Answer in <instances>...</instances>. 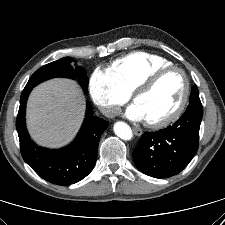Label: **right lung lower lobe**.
I'll use <instances>...</instances> for the list:
<instances>
[{
    "label": "right lung lower lobe",
    "mask_w": 225,
    "mask_h": 225,
    "mask_svg": "<svg viewBox=\"0 0 225 225\" xmlns=\"http://www.w3.org/2000/svg\"><path fill=\"white\" fill-rule=\"evenodd\" d=\"M32 88H24L16 128L24 161L43 179L67 186L85 178L93 169L100 137L109 123L92 115L87 103L86 118L76 139L67 147L50 150L39 147L29 137L25 125L26 101Z\"/></svg>",
    "instance_id": "right-lung-lower-lobe-1"
}]
</instances>
